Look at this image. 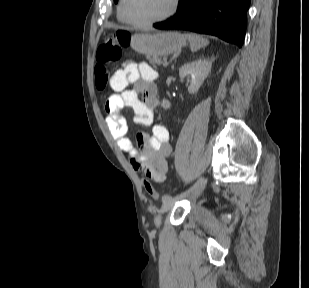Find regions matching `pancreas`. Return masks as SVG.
Listing matches in <instances>:
<instances>
[{"mask_svg": "<svg viewBox=\"0 0 309 288\" xmlns=\"http://www.w3.org/2000/svg\"><path fill=\"white\" fill-rule=\"evenodd\" d=\"M148 60H149V63H150L153 67H155L156 65H161V64L163 63V62L161 61V58L155 57V56L149 57Z\"/></svg>", "mask_w": 309, "mask_h": 288, "instance_id": "pancreas-1", "label": "pancreas"}]
</instances>
